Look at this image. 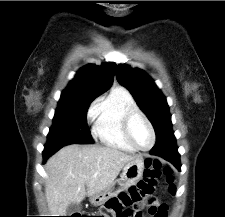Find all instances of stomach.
<instances>
[{
    "mask_svg": "<svg viewBox=\"0 0 225 217\" xmlns=\"http://www.w3.org/2000/svg\"><path fill=\"white\" fill-rule=\"evenodd\" d=\"M145 162L142 158L129 161L123 167L120 179L114 181L103 191L90 197V202L95 206L105 204L110 198L116 196L120 191L138 182L144 174Z\"/></svg>",
    "mask_w": 225,
    "mask_h": 217,
    "instance_id": "1",
    "label": "stomach"
}]
</instances>
